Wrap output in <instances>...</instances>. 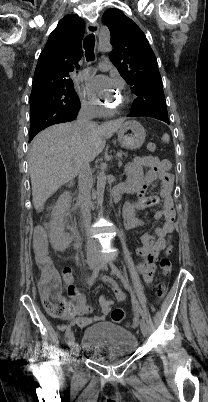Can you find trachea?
<instances>
[{"instance_id":"3493384b","label":"trachea","mask_w":208,"mask_h":402,"mask_svg":"<svg viewBox=\"0 0 208 402\" xmlns=\"http://www.w3.org/2000/svg\"><path fill=\"white\" fill-rule=\"evenodd\" d=\"M84 49L87 61H92L95 59L94 47H95V36L94 34H89L84 39Z\"/></svg>"}]
</instances>
